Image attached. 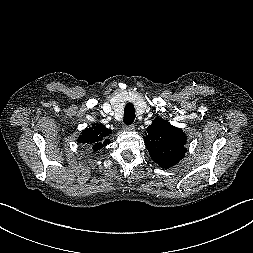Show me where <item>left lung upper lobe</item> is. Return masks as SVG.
Returning <instances> with one entry per match:
<instances>
[{"label":"left lung upper lobe","instance_id":"left-lung-upper-lobe-1","mask_svg":"<svg viewBox=\"0 0 253 253\" xmlns=\"http://www.w3.org/2000/svg\"><path fill=\"white\" fill-rule=\"evenodd\" d=\"M144 143L154 162L169 168L183 159L187 137L184 132L164 119L155 118L147 127Z\"/></svg>","mask_w":253,"mask_h":253}]
</instances>
